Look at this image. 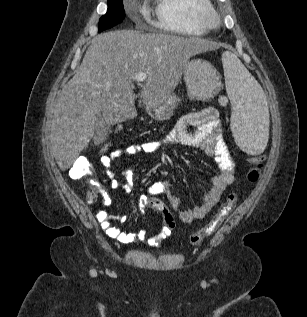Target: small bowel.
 Instances as JSON below:
<instances>
[{
  "label": "small bowel",
  "instance_id": "1",
  "mask_svg": "<svg viewBox=\"0 0 307 317\" xmlns=\"http://www.w3.org/2000/svg\"><path fill=\"white\" fill-rule=\"evenodd\" d=\"M189 127H196V130L191 132ZM176 145L201 148L208 156L214 158L219 168V173L212 178V186L203 197L201 205L194 209H182L179 198L171 189V183L162 180L153 183L147 189L146 195L140 197L138 206L139 210L144 213L149 206L150 197L165 194L170 205L179 212L180 220L184 223H190L193 220L204 218L220 201L225 189L235 179V164L223 139L221 121L216 108L206 107L198 112L184 114L178 119L174 129L162 141L132 143L116 149L108 155L101 156L100 163L106 176L111 179L110 187L112 189L121 188L127 194H131L133 186L128 173L124 172L122 174L125 178L123 181L116 178V175L110 169L112 163L123 156L136 154L159 155L165 148ZM98 192L103 198V205L109 206L111 197L108 191L103 187H99ZM89 201L94 202V200ZM96 219L109 237L124 244L140 240L146 241L149 246L157 247L171 233V230L166 227L162 228L159 234L152 237H148L145 231L124 232L112 225V218L105 210H99L96 213ZM115 219L119 222H124L128 219V216L121 215Z\"/></svg>",
  "mask_w": 307,
  "mask_h": 317
}]
</instances>
